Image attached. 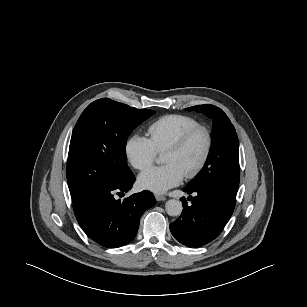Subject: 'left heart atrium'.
Wrapping results in <instances>:
<instances>
[{"label": "left heart atrium", "mask_w": 307, "mask_h": 307, "mask_svg": "<svg viewBox=\"0 0 307 307\" xmlns=\"http://www.w3.org/2000/svg\"><path fill=\"white\" fill-rule=\"evenodd\" d=\"M184 177V173L174 164H164L159 167H151L142 172L138 177L139 186L155 193H164L168 189L178 185Z\"/></svg>", "instance_id": "left-heart-atrium-1"}]
</instances>
